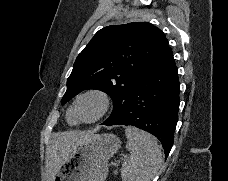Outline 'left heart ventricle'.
Returning a JSON list of instances; mask_svg holds the SVG:
<instances>
[{"label": "left heart ventricle", "instance_id": "1", "mask_svg": "<svg viewBox=\"0 0 228 181\" xmlns=\"http://www.w3.org/2000/svg\"><path fill=\"white\" fill-rule=\"evenodd\" d=\"M96 101L94 99L86 98L80 101L79 103V112L85 118H91L96 111Z\"/></svg>", "mask_w": 228, "mask_h": 181}]
</instances>
